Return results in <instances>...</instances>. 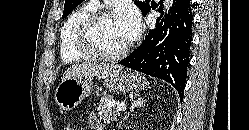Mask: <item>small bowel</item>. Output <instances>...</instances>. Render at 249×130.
Wrapping results in <instances>:
<instances>
[{"label": "small bowel", "mask_w": 249, "mask_h": 130, "mask_svg": "<svg viewBox=\"0 0 249 130\" xmlns=\"http://www.w3.org/2000/svg\"><path fill=\"white\" fill-rule=\"evenodd\" d=\"M88 125L90 130H103V125L98 120L95 114H90L88 119Z\"/></svg>", "instance_id": "obj_1"}]
</instances>
